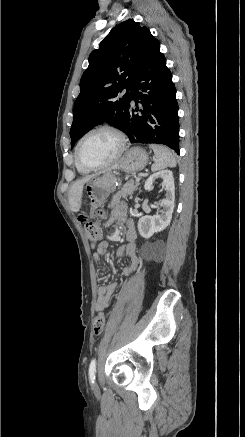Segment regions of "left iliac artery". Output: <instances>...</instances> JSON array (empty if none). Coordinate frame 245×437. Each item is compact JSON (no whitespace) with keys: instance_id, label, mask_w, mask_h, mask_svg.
<instances>
[{"instance_id":"1","label":"left iliac artery","mask_w":245,"mask_h":437,"mask_svg":"<svg viewBox=\"0 0 245 437\" xmlns=\"http://www.w3.org/2000/svg\"><path fill=\"white\" fill-rule=\"evenodd\" d=\"M95 372H96V360L92 359L89 365V380L91 384L95 382Z\"/></svg>"}]
</instances>
